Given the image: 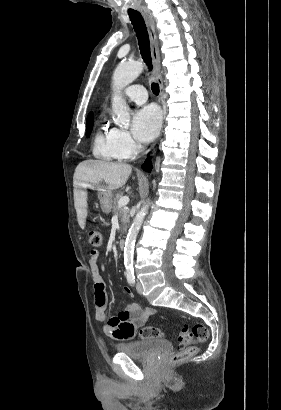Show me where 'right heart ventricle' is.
<instances>
[{
  "mask_svg": "<svg viewBox=\"0 0 281 410\" xmlns=\"http://www.w3.org/2000/svg\"><path fill=\"white\" fill-rule=\"evenodd\" d=\"M92 150L96 158L105 161H120L126 159L121 152L115 129L111 128L105 118H101L93 136Z\"/></svg>",
  "mask_w": 281,
  "mask_h": 410,
  "instance_id": "1",
  "label": "right heart ventricle"
}]
</instances>
